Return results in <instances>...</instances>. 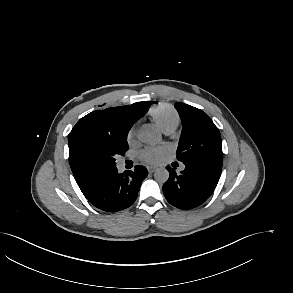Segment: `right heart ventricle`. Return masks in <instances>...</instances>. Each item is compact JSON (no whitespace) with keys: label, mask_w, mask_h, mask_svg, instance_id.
<instances>
[{"label":"right heart ventricle","mask_w":293,"mask_h":293,"mask_svg":"<svg viewBox=\"0 0 293 293\" xmlns=\"http://www.w3.org/2000/svg\"><path fill=\"white\" fill-rule=\"evenodd\" d=\"M149 114L156 125L165 133L173 132L180 124L179 114L166 103L153 107Z\"/></svg>","instance_id":"right-heart-ventricle-1"}]
</instances>
